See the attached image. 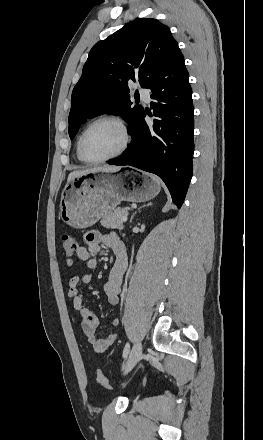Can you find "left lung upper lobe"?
<instances>
[{"instance_id": "5c2ea615", "label": "left lung upper lobe", "mask_w": 263, "mask_h": 440, "mask_svg": "<svg viewBox=\"0 0 263 440\" xmlns=\"http://www.w3.org/2000/svg\"><path fill=\"white\" fill-rule=\"evenodd\" d=\"M177 47L170 29L153 18H138L96 43L72 92L70 138L87 118L104 113L132 126L144 109L132 106L128 82L146 88Z\"/></svg>"}]
</instances>
